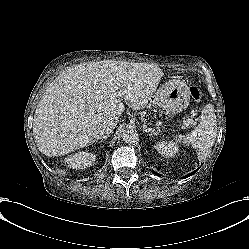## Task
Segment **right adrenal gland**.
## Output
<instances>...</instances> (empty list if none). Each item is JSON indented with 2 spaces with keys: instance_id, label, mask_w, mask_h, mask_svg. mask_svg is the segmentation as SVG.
I'll return each mask as SVG.
<instances>
[{
  "instance_id": "right-adrenal-gland-1",
  "label": "right adrenal gland",
  "mask_w": 249,
  "mask_h": 249,
  "mask_svg": "<svg viewBox=\"0 0 249 249\" xmlns=\"http://www.w3.org/2000/svg\"><path fill=\"white\" fill-rule=\"evenodd\" d=\"M107 138H108L107 135H100L96 139L93 140V143L97 142L98 140H103V139H107Z\"/></svg>"
}]
</instances>
